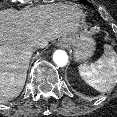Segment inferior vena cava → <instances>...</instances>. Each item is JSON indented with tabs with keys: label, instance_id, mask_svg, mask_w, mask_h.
<instances>
[{
	"label": "inferior vena cava",
	"instance_id": "inferior-vena-cava-1",
	"mask_svg": "<svg viewBox=\"0 0 117 117\" xmlns=\"http://www.w3.org/2000/svg\"><path fill=\"white\" fill-rule=\"evenodd\" d=\"M29 53L31 55H37L39 53V48L37 46H31L29 48Z\"/></svg>",
	"mask_w": 117,
	"mask_h": 117
}]
</instances>
